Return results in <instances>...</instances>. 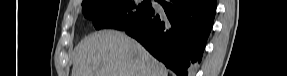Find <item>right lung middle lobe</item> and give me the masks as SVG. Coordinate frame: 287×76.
<instances>
[{"label":"right lung middle lobe","instance_id":"obj_1","mask_svg":"<svg viewBox=\"0 0 287 76\" xmlns=\"http://www.w3.org/2000/svg\"><path fill=\"white\" fill-rule=\"evenodd\" d=\"M82 6L85 17L93 19L97 30H124L146 17L152 9L150 0H88Z\"/></svg>","mask_w":287,"mask_h":76}]
</instances>
